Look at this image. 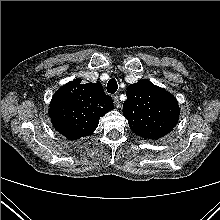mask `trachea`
<instances>
[{"instance_id":"obj_1","label":"trachea","mask_w":220,"mask_h":220,"mask_svg":"<svg viewBox=\"0 0 220 220\" xmlns=\"http://www.w3.org/2000/svg\"><path fill=\"white\" fill-rule=\"evenodd\" d=\"M118 89V84L115 79H110L107 84V92L110 94H114Z\"/></svg>"}]
</instances>
